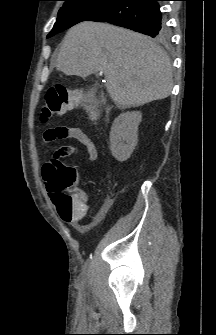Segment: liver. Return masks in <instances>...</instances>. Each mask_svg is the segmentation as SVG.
I'll list each match as a JSON object with an SVG mask.
<instances>
[{
    "label": "liver",
    "mask_w": 216,
    "mask_h": 335,
    "mask_svg": "<svg viewBox=\"0 0 216 335\" xmlns=\"http://www.w3.org/2000/svg\"><path fill=\"white\" fill-rule=\"evenodd\" d=\"M57 70L82 78L103 72L106 89L124 109L168 97L172 65L148 37L107 23L81 22L65 35Z\"/></svg>",
    "instance_id": "1"
}]
</instances>
